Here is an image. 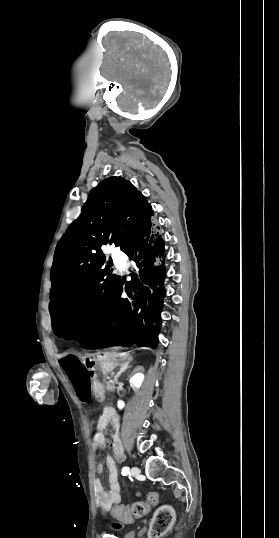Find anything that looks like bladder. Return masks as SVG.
<instances>
[{
    "mask_svg": "<svg viewBox=\"0 0 279 538\" xmlns=\"http://www.w3.org/2000/svg\"><path fill=\"white\" fill-rule=\"evenodd\" d=\"M124 538H135L133 532H125Z\"/></svg>",
    "mask_w": 279,
    "mask_h": 538,
    "instance_id": "1",
    "label": "bladder"
}]
</instances>
